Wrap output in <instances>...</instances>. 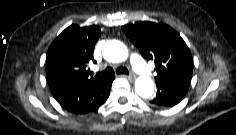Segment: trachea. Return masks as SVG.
Returning <instances> with one entry per match:
<instances>
[{
  "label": "trachea",
  "instance_id": "3493384b",
  "mask_svg": "<svg viewBox=\"0 0 236 135\" xmlns=\"http://www.w3.org/2000/svg\"><path fill=\"white\" fill-rule=\"evenodd\" d=\"M118 74H129L128 70L125 67H119L116 69ZM114 74V70L112 67H107L104 71L97 73L100 77H109Z\"/></svg>",
  "mask_w": 236,
  "mask_h": 135
}]
</instances>
